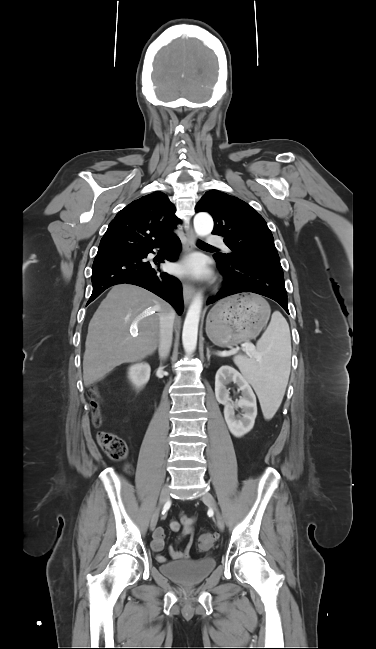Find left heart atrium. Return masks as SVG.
I'll return each mask as SVG.
<instances>
[{"instance_id":"obj_1","label":"left heart atrium","mask_w":376,"mask_h":649,"mask_svg":"<svg viewBox=\"0 0 376 649\" xmlns=\"http://www.w3.org/2000/svg\"><path fill=\"white\" fill-rule=\"evenodd\" d=\"M176 272L181 275L200 276L205 272V269L200 260L192 258L182 265H179L176 268Z\"/></svg>"}]
</instances>
